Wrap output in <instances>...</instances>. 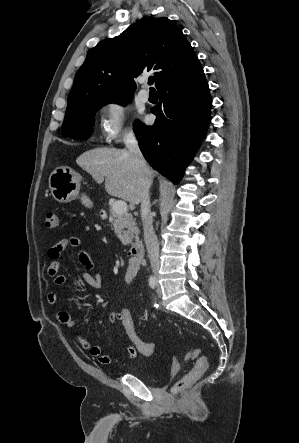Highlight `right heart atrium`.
I'll return each mask as SVG.
<instances>
[{
  "mask_svg": "<svg viewBox=\"0 0 299 443\" xmlns=\"http://www.w3.org/2000/svg\"><path fill=\"white\" fill-rule=\"evenodd\" d=\"M99 131L107 143H117L133 135L128 122L126 105L117 98L103 101L99 106Z\"/></svg>",
  "mask_w": 299,
  "mask_h": 443,
  "instance_id": "d8ad5b80",
  "label": "right heart atrium"
}]
</instances>
